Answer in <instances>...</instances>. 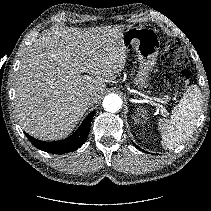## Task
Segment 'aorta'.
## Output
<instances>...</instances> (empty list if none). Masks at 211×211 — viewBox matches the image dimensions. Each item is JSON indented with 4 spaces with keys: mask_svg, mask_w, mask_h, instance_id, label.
I'll return each mask as SVG.
<instances>
[{
    "mask_svg": "<svg viewBox=\"0 0 211 211\" xmlns=\"http://www.w3.org/2000/svg\"><path fill=\"white\" fill-rule=\"evenodd\" d=\"M122 99L116 94H109L103 100V107L106 111L115 113L120 110Z\"/></svg>",
    "mask_w": 211,
    "mask_h": 211,
    "instance_id": "obj_1",
    "label": "aorta"
}]
</instances>
